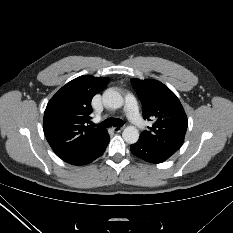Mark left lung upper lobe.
<instances>
[{"instance_id":"obj_1","label":"left lung upper lobe","mask_w":233,"mask_h":233,"mask_svg":"<svg viewBox=\"0 0 233 233\" xmlns=\"http://www.w3.org/2000/svg\"><path fill=\"white\" fill-rule=\"evenodd\" d=\"M143 106L144 119H154L149 130L140 134L147 144L174 154L183 144L187 117L177 96L155 80L131 79Z\"/></svg>"}]
</instances>
